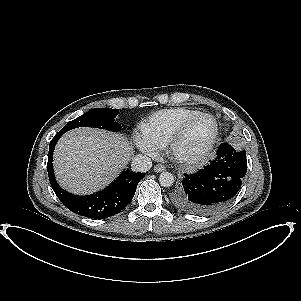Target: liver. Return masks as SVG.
<instances>
[{
  "label": "liver",
  "mask_w": 301,
  "mask_h": 301,
  "mask_svg": "<svg viewBox=\"0 0 301 301\" xmlns=\"http://www.w3.org/2000/svg\"><path fill=\"white\" fill-rule=\"evenodd\" d=\"M132 152L121 134L87 127L73 129L55 147V175L67 191L90 194L110 184L126 167Z\"/></svg>",
  "instance_id": "obj_1"
}]
</instances>
